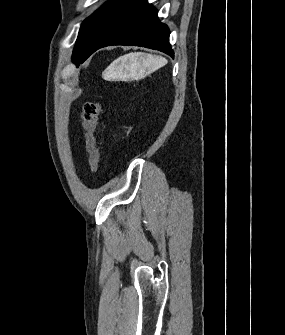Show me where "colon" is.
<instances>
[{"label": "colon", "mask_w": 285, "mask_h": 335, "mask_svg": "<svg viewBox=\"0 0 285 335\" xmlns=\"http://www.w3.org/2000/svg\"><path fill=\"white\" fill-rule=\"evenodd\" d=\"M102 109L99 100L87 101L82 108L81 120L86 137V147L89 156V165L92 173L96 175L99 170L100 153L96 140L98 117Z\"/></svg>", "instance_id": "1"}]
</instances>
